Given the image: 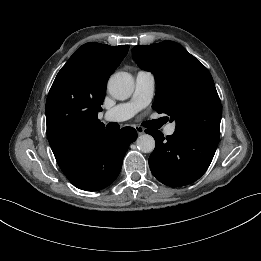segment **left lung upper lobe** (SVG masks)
Here are the masks:
<instances>
[{"label": "left lung upper lobe", "mask_w": 261, "mask_h": 261, "mask_svg": "<svg viewBox=\"0 0 261 261\" xmlns=\"http://www.w3.org/2000/svg\"><path fill=\"white\" fill-rule=\"evenodd\" d=\"M132 55L141 69L154 74L152 107L176 122L175 131L219 138L221 102L209 71L198 59L172 41L135 46Z\"/></svg>", "instance_id": "1"}]
</instances>
